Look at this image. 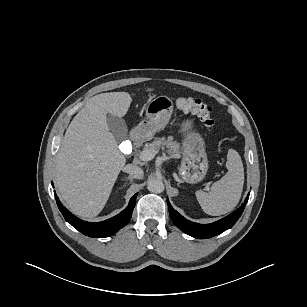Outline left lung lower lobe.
<instances>
[{
	"label": "left lung lower lobe",
	"mask_w": 307,
	"mask_h": 307,
	"mask_svg": "<svg viewBox=\"0 0 307 307\" xmlns=\"http://www.w3.org/2000/svg\"><path fill=\"white\" fill-rule=\"evenodd\" d=\"M248 198L249 194L241 207H239L237 210H235L233 213L226 216L225 218L211 224H198L186 220L176 210L173 209L168 200L167 202H168L170 217L178 228H180L183 232L194 238L205 239L216 236L224 232L225 230L230 229L243 213Z\"/></svg>",
	"instance_id": "obj_1"
}]
</instances>
